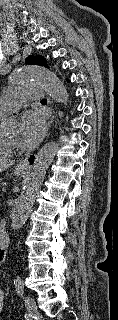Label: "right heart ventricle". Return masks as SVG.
<instances>
[{
	"label": "right heart ventricle",
	"mask_w": 118,
	"mask_h": 320,
	"mask_svg": "<svg viewBox=\"0 0 118 320\" xmlns=\"http://www.w3.org/2000/svg\"><path fill=\"white\" fill-rule=\"evenodd\" d=\"M3 114L0 113V119ZM13 152V145L6 139L5 135L0 132V157L1 156H9Z\"/></svg>",
	"instance_id": "e07e8e85"
}]
</instances>
